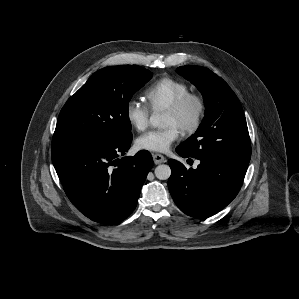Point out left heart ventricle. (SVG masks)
Instances as JSON below:
<instances>
[{
	"label": "left heart ventricle",
	"mask_w": 299,
	"mask_h": 299,
	"mask_svg": "<svg viewBox=\"0 0 299 299\" xmlns=\"http://www.w3.org/2000/svg\"><path fill=\"white\" fill-rule=\"evenodd\" d=\"M195 112V106L192 104L188 107L185 115L182 118H178L170 113L165 112L164 114V125L165 126H170V125H175L179 127L180 122L183 120H188L192 117V115Z\"/></svg>",
	"instance_id": "b2bd125f"
}]
</instances>
